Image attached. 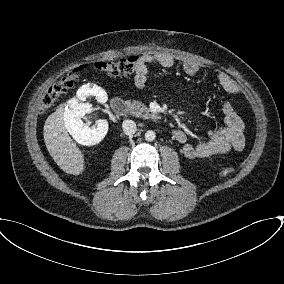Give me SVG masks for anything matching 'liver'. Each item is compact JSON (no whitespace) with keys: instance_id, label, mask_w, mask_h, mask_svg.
Wrapping results in <instances>:
<instances>
[{"instance_id":"6515ba94","label":"liver","mask_w":284,"mask_h":284,"mask_svg":"<svg viewBox=\"0 0 284 284\" xmlns=\"http://www.w3.org/2000/svg\"><path fill=\"white\" fill-rule=\"evenodd\" d=\"M64 119V104H61L45 121L44 142L49 154L64 172L79 175L84 171V156L67 133Z\"/></svg>"}]
</instances>
